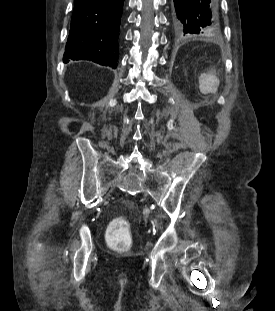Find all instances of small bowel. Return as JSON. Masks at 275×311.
Returning a JSON list of instances; mask_svg holds the SVG:
<instances>
[{"instance_id":"small-bowel-1","label":"small bowel","mask_w":275,"mask_h":311,"mask_svg":"<svg viewBox=\"0 0 275 311\" xmlns=\"http://www.w3.org/2000/svg\"><path fill=\"white\" fill-rule=\"evenodd\" d=\"M218 75V69H211L210 73H201V80L196 81L201 98H216V93H218V86H216Z\"/></svg>"}]
</instances>
